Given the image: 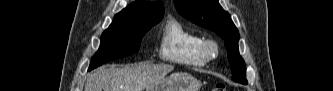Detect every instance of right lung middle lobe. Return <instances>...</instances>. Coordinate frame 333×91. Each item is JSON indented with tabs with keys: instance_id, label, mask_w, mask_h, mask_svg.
Wrapping results in <instances>:
<instances>
[{
	"instance_id": "1",
	"label": "right lung middle lobe",
	"mask_w": 333,
	"mask_h": 91,
	"mask_svg": "<svg viewBox=\"0 0 333 91\" xmlns=\"http://www.w3.org/2000/svg\"><path fill=\"white\" fill-rule=\"evenodd\" d=\"M162 18L112 24L101 36L99 50L94 55L89 71L108 61L137 52L144 34Z\"/></svg>"
}]
</instances>
